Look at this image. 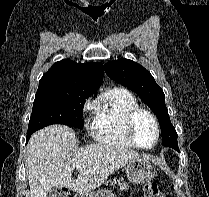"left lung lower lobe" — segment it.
<instances>
[{
	"label": "left lung lower lobe",
	"instance_id": "left-lung-lower-lobe-1",
	"mask_svg": "<svg viewBox=\"0 0 209 197\" xmlns=\"http://www.w3.org/2000/svg\"><path fill=\"white\" fill-rule=\"evenodd\" d=\"M175 150L179 151L178 145L173 147Z\"/></svg>",
	"mask_w": 209,
	"mask_h": 197
}]
</instances>
